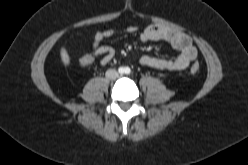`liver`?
<instances>
[{
    "label": "liver",
    "mask_w": 248,
    "mask_h": 165,
    "mask_svg": "<svg viewBox=\"0 0 248 165\" xmlns=\"http://www.w3.org/2000/svg\"><path fill=\"white\" fill-rule=\"evenodd\" d=\"M60 56H61V60L64 63V65H66V66L69 65L70 57H69V55H68V53L64 47H62L60 49Z\"/></svg>",
    "instance_id": "6515ba94"
}]
</instances>
